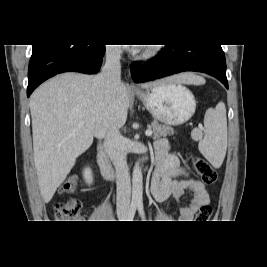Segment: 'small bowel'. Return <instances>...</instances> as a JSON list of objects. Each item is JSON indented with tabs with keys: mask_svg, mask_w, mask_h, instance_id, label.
<instances>
[{
	"mask_svg": "<svg viewBox=\"0 0 267 267\" xmlns=\"http://www.w3.org/2000/svg\"><path fill=\"white\" fill-rule=\"evenodd\" d=\"M154 147L156 166L151 180L152 193L159 202L176 201L180 205L182 221L188 222L202 205L209 202L208 192L202 182L188 178L178 157L170 152L167 140L158 139ZM185 195L189 197V203L182 205Z\"/></svg>",
	"mask_w": 267,
	"mask_h": 267,
	"instance_id": "obj_1",
	"label": "small bowel"
}]
</instances>
